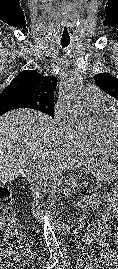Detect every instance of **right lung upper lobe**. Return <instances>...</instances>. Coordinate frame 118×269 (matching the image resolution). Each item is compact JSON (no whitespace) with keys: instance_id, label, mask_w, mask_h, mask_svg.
<instances>
[{"instance_id":"1","label":"right lung upper lobe","mask_w":118,"mask_h":269,"mask_svg":"<svg viewBox=\"0 0 118 269\" xmlns=\"http://www.w3.org/2000/svg\"><path fill=\"white\" fill-rule=\"evenodd\" d=\"M57 79L44 77L35 70H24L19 73L4 89L1 96L6 94H21L41 104H53L54 90Z\"/></svg>"}]
</instances>
